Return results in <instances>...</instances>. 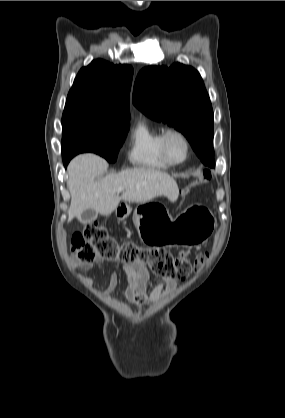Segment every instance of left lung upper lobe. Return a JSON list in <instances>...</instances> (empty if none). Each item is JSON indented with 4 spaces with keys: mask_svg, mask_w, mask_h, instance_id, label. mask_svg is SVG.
I'll return each instance as SVG.
<instances>
[{
    "mask_svg": "<svg viewBox=\"0 0 285 418\" xmlns=\"http://www.w3.org/2000/svg\"><path fill=\"white\" fill-rule=\"evenodd\" d=\"M133 103L183 133L201 161L215 167L213 110L198 71L181 63L146 67L136 78Z\"/></svg>",
    "mask_w": 285,
    "mask_h": 418,
    "instance_id": "5c2ea615",
    "label": "left lung upper lobe"
}]
</instances>
